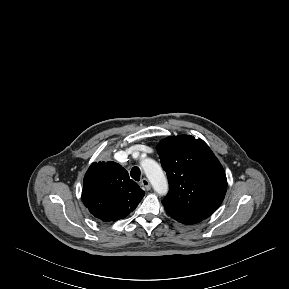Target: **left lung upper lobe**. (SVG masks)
I'll list each match as a JSON object with an SVG mask.
<instances>
[{
    "label": "left lung upper lobe",
    "mask_w": 289,
    "mask_h": 289,
    "mask_svg": "<svg viewBox=\"0 0 289 289\" xmlns=\"http://www.w3.org/2000/svg\"><path fill=\"white\" fill-rule=\"evenodd\" d=\"M157 150L169 180L164 207L203 218L214 213L225 197L227 179L208 145L180 135L162 140Z\"/></svg>",
    "instance_id": "obj_1"
}]
</instances>
